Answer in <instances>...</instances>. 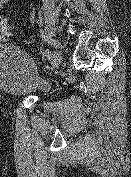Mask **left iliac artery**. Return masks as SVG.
Wrapping results in <instances>:
<instances>
[{"instance_id": "obj_1", "label": "left iliac artery", "mask_w": 131, "mask_h": 177, "mask_svg": "<svg viewBox=\"0 0 131 177\" xmlns=\"http://www.w3.org/2000/svg\"><path fill=\"white\" fill-rule=\"evenodd\" d=\"M48 43L51 44V45L52 44L55 45L54 41H48ZM45 56H46V59H47L46 63L47 64H52L53 63V60L51 59L52 53L47 50L46 53H45Z\"/></svg>"}]
</instances>
